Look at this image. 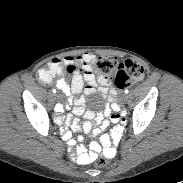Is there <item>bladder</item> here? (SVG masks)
I'll use <instances>...</instances> for the list:
<instances>
[{
    "label": "bladder",
    "instance_id": "1",
    "mask_svg": "<svg viewBox=\"0 0 183 183\" xmlns=\"http://www.w3.org/2000/svg\"><path fill=\"white\" fill-rule=\"evenodd\" d=\"M102 102H103V99H102L101 96H94L90 100V105L92 107H96L97 108V107L101 106Z\"/></svg>",
    "mask_w": 183,
    "mask_h": 183
}]
</instances>
